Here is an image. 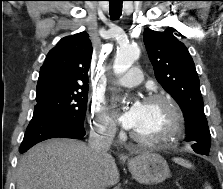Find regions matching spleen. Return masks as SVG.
Listing matches in <instances>:
<instances>
[{
  "label": "spleen",
  "mask_w": 223,
  "mask_h": 189,
  "mask_svg": "<svg viewBox=\"0 0 223 189\" xmlns=\"http://www.w3.org/2000/svg\"><path fill=\"white\" fill-rule=\"evenodd\" d=\"M173 161L183 167L186 168H193V165L191 163H189L188 161L182 159V158H174ZM205 189H211V187L209 185L205 186Z\"/></svg>",
  "instance_id": "obj_1"
}]
</instances>
